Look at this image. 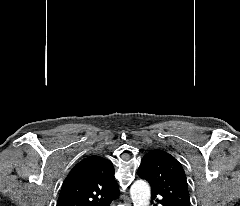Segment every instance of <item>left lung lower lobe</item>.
<instances>
[{
    "label": "left lung lower lobe",
    "instance_id": "1",
    "mask_svg": "<svg viewBox=\"0 0 240 206\" xmlns=\"http://www.w3.org/2000/svg\"><path fill=\"white\" fill-rule=\"evenodd\" d=\"M140 176V175H139ZM141 178H143L142 176H140ZM144 179V178H143ZM158 194L152 192V199H155L157 197ZM159 204H161L162 206H168V204L166 202H164L163 200H157ZM157 206V205H154Z\"/></svg>",
    "mask_w": 240,
    "mask_h": 206
}]
</instances>
